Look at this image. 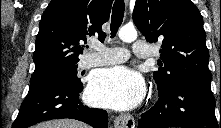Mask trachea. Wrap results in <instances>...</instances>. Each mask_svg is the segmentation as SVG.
I'll list each match as a JSON object with an SVG mask.
<instances>
[{"label":"trachea","mask_w":221,"mask_h":128,"mask_svg":"<svg viewBox=\"0 0 221 128\" xmlns=\"http://www.w3.org/2000/svg\"><path fill=\"white\" fill-rule=\"evenodd\" d=\"M124 10L125 4L123 0H116L113 9H112V16H111V38H114L119 27L122 24L123 17H124Z\"/></svg>","instance_id":"1"}]
</instances>
